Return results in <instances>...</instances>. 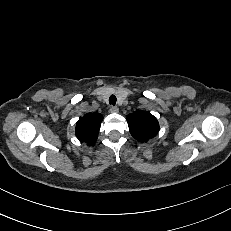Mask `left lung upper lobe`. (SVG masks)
I'll list each match as a JSON object with an SVG mask.
<instances>
[{
	"instance_id": "5c2ea615",
	"label": "left lung upper lobe",
	"mask_w": 231,
	"mask_h": 231,
	"mask_svg": "<svg viewBox=\"0 0 231 231\" xmlns=\"http://www.w3.org/2000/svg\"><path fill=\"white\" fill-rule=\"evenodd\" d=\"M132 136L141 142H147L159 130L157 119L150 112L136 111L127 116Z\"/></svg>"
}]
</instances>
